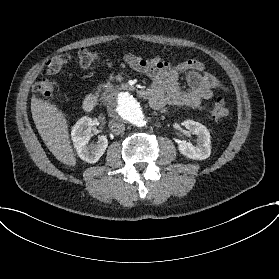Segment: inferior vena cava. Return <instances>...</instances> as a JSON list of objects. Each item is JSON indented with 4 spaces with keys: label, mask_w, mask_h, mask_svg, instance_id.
Wrapping results in <instances>:
<instances>
[{
    "label": "inferior vena cava",
    "mask_w": 279,
    "mask_h": 279,
    "mask_svg": "<svg viewBox=\"0 0 279 279\" xmlns=\"http://www.w3.org/2000/svg\"><path fill=\"white\" fill-rule=\"evenodd\" d=\"M108 125L114 134L119 135L125 132V124L122 122L111 120Z\"/></svg>",
    "instance_id": "1"
}]
</instances>
